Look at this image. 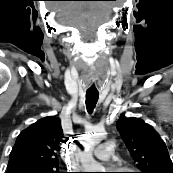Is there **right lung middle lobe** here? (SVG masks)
<instances>
[{"mask_svg":"<svg viewBox=\"0 0 173 173\" xmlns=\"http://www.w3.org/2000/svg\"><path fill=\"white\" fill-rule=\"evenodd\" d=\"M25 173H60L58 170L26 171Z\"/></svg>","mask_w":173,"mask_h":173,"instance_id":"1","label":"right lung middle lobe"}]
</instances>
